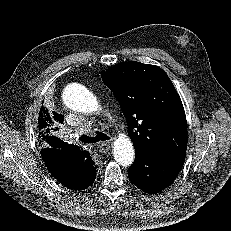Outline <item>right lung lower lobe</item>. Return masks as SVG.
<instances>
[{"mask_svg": "<svg viewBox=\"0 0 231 231\" xmlns=\"http://www.w3.org/2000/svg\"><path fill=\"white\" fill-rule=\"evenodd\" d=\"M86 156H87V159L85 160V162H83V164L87 166L86 177H85V180L82 182L83 184L82 188L79 190L85 189L91 184H93L96 178L95 176L96 168L94 166V161L91 159L90 154L88 152Z\"/></svg>", "mask_w": 231, "mask_h": 231, "instance_id": "obj_1", "label": "right lung lower lobe"}]
</instances>
